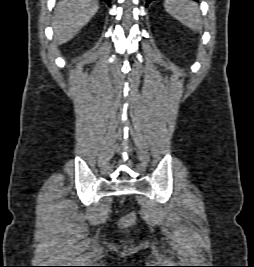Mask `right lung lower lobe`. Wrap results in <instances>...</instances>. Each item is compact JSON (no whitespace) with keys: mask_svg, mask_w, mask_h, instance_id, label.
Masks as SVG:
<instances>
[{"mask_svg":"<svg viewBox=\"0 0 254 267\" xmlns=\"http://www.w3.org/2000/svg\"><path fill=\"white\" fill-rule=\"evenodd\" d=\"M110 6V0H104Z\"/></svg>","mask_w":254,"mask_h":267,"instance_id":"98d812e1","label":"right lung lower lobe"}]
</instances>
